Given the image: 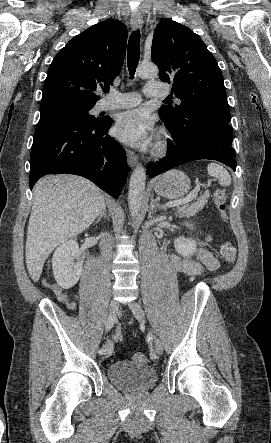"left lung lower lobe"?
<instances>
[{"label":"left lung lower lobe","instance_id":"left-lung-lower-lobe-1","mask_svg":"<svg viewBox=\"0 0 271 443\" xmlns=\"http://www.w3.org/2000/svg\"><path fill=\"white\" fill-rule=\"evenodd\" d=\"M159 116L171 133V138L167 140L168 155L159 162L148 163L147 173L150 178L199 159L217 160L235 171L229 109L204 105L196 113L175 122H168L160 112Z\"/></svg>","mask_w":271,"mask_h":443}]
</instances>
